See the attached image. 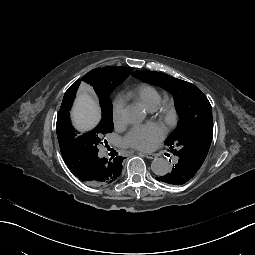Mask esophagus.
<instances>
[{
    "instance_id": "esophagus-1",
    "label": "esophagus",
    "mask_w": 255,
    "mask_h": 255,
    "mask_svg": "<svg viewBox=\"0 0 255 255\" xmlns=\"http://www.w3.org/2000/svg\"><path fill=\"white\" fill-rule=\"evenodd\" d=\"M146 158L148 159H155L156 158V155L155 154H151V153H147L144 155Z\"/></svg>"
}]
</instances>
